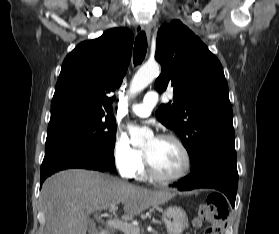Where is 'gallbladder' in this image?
Here are the masks:
<instances>
[{"instance_id": "gallbladder-1", "label": "gallbladder", "mask_w": 279, "mask_h": 234, "mask_svg": "<svg viewBox=\"0 0 279 234\" xmlns=\"http://www.w3.org/2000/svg\"><path fill=\"white\" fill-rule=\"evenodd\" d=\"M96 231H97L96 227L91 222H89V232H90V234H95Z\"/></svg>"}]
</instances>
